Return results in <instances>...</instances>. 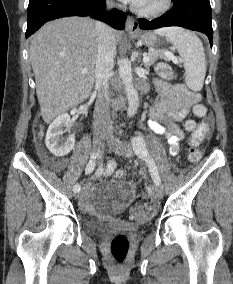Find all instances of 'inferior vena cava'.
<instances>
[{
  "mask_svg": "<svg viewBox=\"0 0 233 284\" xmlns=\"http://www.w3.org/2000/svg\"><path fill=\"white\" fill-rule=\"evenodd\" d=\"M111 5L108 2V7H111ZM96 31L98 36V51L95 63L97 101L93 113V125L97 132L111 133L113 121L110 117L109 80L114 67L116 40L113 30L105 23L96 22Z\"/></svg>",
  "mask_w": 233,
  "mask_h": 284,
  "instance_id": "602c4592",
  "label": "inferior vena cava"
}]
</instances>
